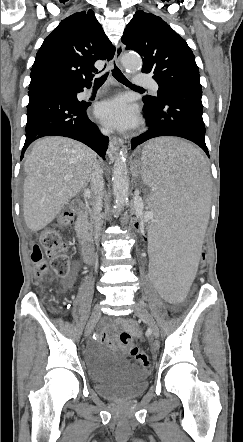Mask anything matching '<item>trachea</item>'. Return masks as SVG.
Here are the masks:
<instances>
[{"label": "trachea", "instance_id": "trachea-1", "mask_svg": "<svg viewBox=\"0 0 243 442\" xmlns=\"http://www.w3.org/2000/svg\"><path fill=\"white\" fill-rule=\"evenodd\" d=\"M114 66L115 67L112 70V75L117 81H119L120 83H122L128 87L143 89L142 87L136 86V85L132 84L130 81H128V79L123 75V73L120 71V69L116 65H114ZM108 74H109V72H106L103 75H101L100 77L96 78L95 85H102L106 81Z\"/></svg>", "mask_w": 243, "mask_h": 442}]
</instances>
